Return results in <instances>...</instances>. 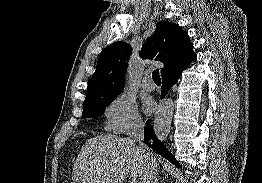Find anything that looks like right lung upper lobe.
Listing matches in <instances>:
<instances>
[{
  "label": "right lung upper lobe",
  "mask_w": 262,
  "mask_h": 183,
  "mask_svg": "<svg viewBox=\"0 0 262 183\" xmlns=\"http://www.w3.org/2000/svg\"><path fill=\"white\" fill-rule=\"evenodd\" d=\"M131 52V46L122 41L112 43L101 52L84 103L119 95L123 91ZM140 55L143 59L161 61L164 64L162 77L186 69L196 59L188 33L168 21L157 24L154 33L143 44Z\"/></svg>",
  "instance_id": "right-lung-upper-lobe-1"
}]
</instances>
